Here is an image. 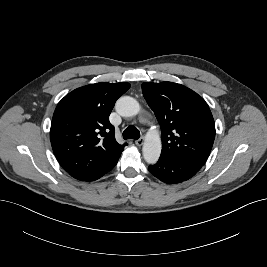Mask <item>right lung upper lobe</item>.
I'll return each mask as SVG.
<instances>
[{"label": "right lung upper lobe", "instance_id": "obj_1", "mask_svg": "<svg viewBox=\"0 0 267 267\" xmlns=\"http://www.w3.org/2000/svg\"><path fill=\"white\" fill-rule=\"evenodd\" d=\"M129 83L101 82L67 94L53 114L50 139L60 165L71 174L94 176L120 157L126 143H117L109 115Z\"/></svg>", "mask_w": 267, "mask_h": 267}]
</instances>
